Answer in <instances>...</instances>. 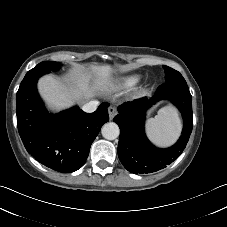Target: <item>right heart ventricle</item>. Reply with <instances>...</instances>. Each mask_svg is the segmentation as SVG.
<instances>
[{
    "instance_id": "e07e8e85",
    "label": "right heart ventricle",
    "mask_w": 227,
    "mask_h": 227,
    "mask_svg": "<svg viewBox=\"0 0 227 227\" xmlns=\"http://www.w3.org/2000/svg\"><path fill=\"white\" fill-rule=\"evenodd\" d=\"M138 80V76L137 75H130V76H126L123 77L119 80H117L114 83V87L116 88H129L131 86H133Z\"/></svg>"
}]
</instances>
